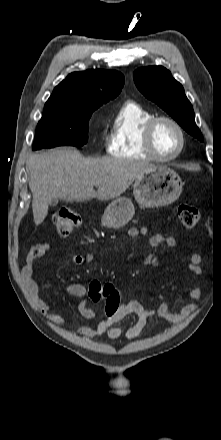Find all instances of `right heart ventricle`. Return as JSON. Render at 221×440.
<instances>
[{
	"instance_id": "e07e8e85",
	"label": "right heart ventricle",
	"mask_w": 221,
	"mask_h": 440,
	"mask_svg": "<svg viewBox=\"0 0 221 440\" xmlns=\"http://www.w3.org/2000/svg\"><path fill=\"white\" fill-rule=\"evenodd\" d=\"M153 113L136 101H125L113 123L107 151L115 158L151 159L143 143V128Z\"/></svg>"
}]
</instances>
